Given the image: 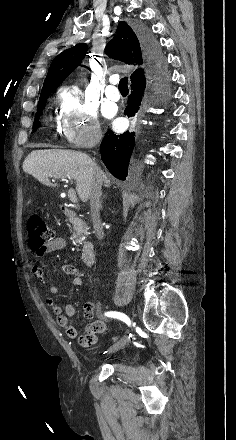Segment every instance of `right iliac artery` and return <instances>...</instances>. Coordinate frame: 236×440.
<instances>
[{
  "label": "right iliac artery",
  "mask_w": 236,
  "mask_h": 440,
  "mask_svg": "<svg viewBox=\"0 0 236 440\" xmlns=\"http://www.w3.org/2000/svg\"><path fill=\"white\" fill-rule=\"evenodd\" d=\"M104 315L107 316V317H112V318L119 319V320L125 322L129 326L131 324L130 319L124 313L116 312V311H110V312H105Z\"/></svg>",
  "instance_id": "right-iliac-artery-1"
}]
</instances>
